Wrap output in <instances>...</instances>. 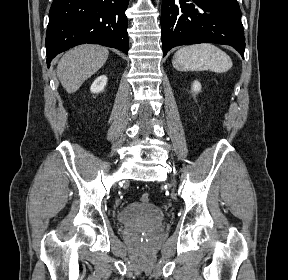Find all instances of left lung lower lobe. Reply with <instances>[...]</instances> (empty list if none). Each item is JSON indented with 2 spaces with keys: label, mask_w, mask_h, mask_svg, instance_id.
Instances as JSON below:
<instances>
[{
  "label": "left lung lower lobe",
  "mask_w": 288,
  "mask_h": 280,
  "mask_svg": "<svg viewBox=\"0 0 288 280\" xmlns=\"http://www.w3.org/2000/svg\"><path fill=\"white\" fill-rule=\"evenodd\" d=\"M163 56L179 45L218 43L234 47L244 58L245 37L236 0H163Z\"/></svg>",
  "instance_id": "left-lung-lower-lobe-1"
}]
</instances>
